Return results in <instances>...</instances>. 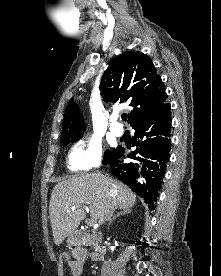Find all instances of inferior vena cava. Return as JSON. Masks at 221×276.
Masks as SVG:
<instances>
[{
	"label": "inferior vena cava",
	"mask_w": 221,
	"mask_h": 276,
	"mask_svg": "<svg viewBox=\"0 0 221 276\" xmlns=\"http://www.w3.org/2000/svg\"><path fill=\"white\" fill-rule=\"evenodd\" d=\"M115 209H116V204H115L114 200H112V201H110L109 205L106 208L103 222L104 221L110 222L113 219L112 216H113Z\"/></svg>",
	"instance_id": "602c4592"
}]
</instances>
